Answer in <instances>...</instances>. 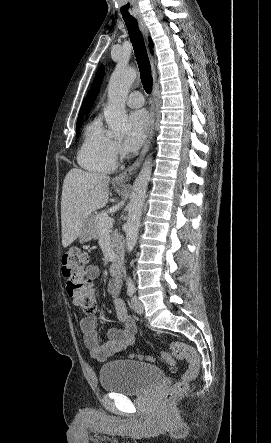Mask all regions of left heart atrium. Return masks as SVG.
I'll return each mask as SVG.
<instances>
[{
  "instance_id": "39dd6f15",
  "label": "left heart atrium",
  "mask_w": 271,
  "mask_h": 443,
  "mask_svg": "<svg viewBox=\"0 0 271 443\" xmlns=\"http://www.w3.org/2000/svg\"><path fill=\"white\" fill-rule=\"evenodd\" d=\"M129 123L131 131L125 140V148L127 151L133 152L139 149L150 130L149 115L144 109L134 110L129 115Z\"/></svg>"
}]
</instances>
